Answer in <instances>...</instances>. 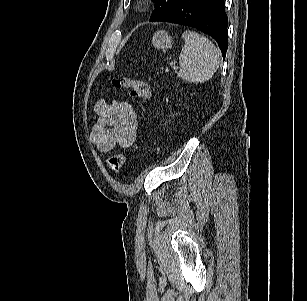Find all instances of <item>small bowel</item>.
Wrapping results in <instances>:
<instances>
[{
	"label": "small bowel",
	"instance_id": "small-bowel-1",
	"mask_svg": "<svg viewBox=\"0 0 307 301\" xmlns=\"http://www.w3.org/2000/svg\"><path fill=\"white\" fill-rule=\"evenodd\" d=\"M95 112L98 120L91 140L101 153L110 152L115 145L122 148L132 145L137 134L138 119L130 103L100 99L95 104Z\"/></svg>",
	"mask_w": 307,
	"mask_h": 301
}]
</instances>
